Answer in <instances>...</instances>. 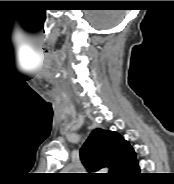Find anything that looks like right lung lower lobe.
<instances>
[{
	"label": "right lung lower lobe",
	"mask_w": 174,
	"mask_h": 184,
	"mask_svg": "<svg viewBox=\"0 0 174 184\" xmlns=\"http://www.w3.org/2000/svg\"><path fill=\"white\" fill-rule=\"evenodd\" d=\"M139 174H140V168L135 158L129 164H127V166L123 169L121 174L118 176L119 178L118 182L123 183L125 182L124 180L139 176Z\"/></svg>",
	"instance_id": "98d812e1"
}]
</instances>
